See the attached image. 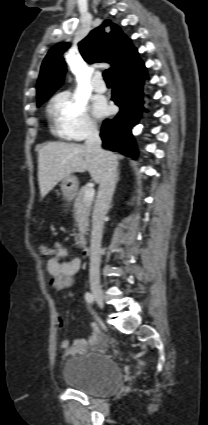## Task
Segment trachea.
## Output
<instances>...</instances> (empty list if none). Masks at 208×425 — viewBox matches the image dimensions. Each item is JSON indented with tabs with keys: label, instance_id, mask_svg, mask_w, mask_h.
Wrapping results in <instances>:
<instances>
[{
	"label": "trachea",
	"instance_id": "3493384b",
	"mask_svg": "<svg viewBox=\"0 0 208 425\" xmlns=\"http://www.w3.org/2000/svg\"><path fill=\"white\" fill-rule=\"evenodd\" d=\"M103 78L106 82H111V79L106 71L103 72Z\"/></svg>",
	"mask_w": 208,
	"mask_h": 425
}]
</instances>
